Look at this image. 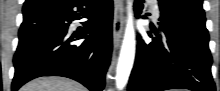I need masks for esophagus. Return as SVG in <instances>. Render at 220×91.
Listing matches in <instances>:
<instances>
[{
	"mask_svg": "<svg viewBox=\"0 0 220 91\" xmlns=\"http://www.w3.org/2000/svg\"><path fill=\"white\" fill-rule=\"evenodd\" d=\"M124 29V0L114 1L113 40L115 48H118Z\"/></svg>",
	"mask_w": 220,
	"mask_h": 91,
	"instance_id": "obj_1",
	"label": "esophagus"
}]
</instances>
